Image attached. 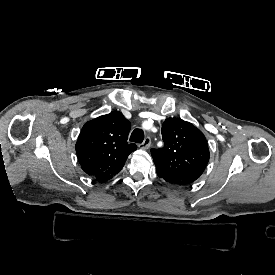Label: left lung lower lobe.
Returning <instances> with one entry per match:
<instances>
[{"label": "left lung lower lobe", "instance_id": "1", "mask_svg": "<svg viewBox=\"0 0 275 275\" xmlns=\"http://www.w3.org/2000/svg\"><path fill=\"white\" fill-rule=\"evenodd\" d=\"M156 171H157V175H158L160 178H163L165 181H167V182L173 184V183H172V180H171L167 175H165L162 171H160L159 169H156Z\"/></svg>", "mask_w": 275, "mask_h": 275}]
</instances>
